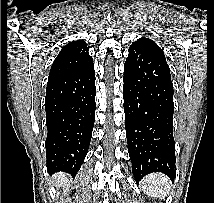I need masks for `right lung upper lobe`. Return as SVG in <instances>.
I'll return each mask as SVG.
<instances>
[{"instance_id":"1","label":"right lung upper lobe","mask_w":214,"mask_h":203,"mask_svg":"<svg viewBox=\"0 0 214 203\" xmlns=\"http://www.w3.org/2000/svg\"><path fill=\"white\" fill-rule=\"evenodd\" d=\"M88 50L83 40L66 44L52 64L48 83L72 75L91 64L93 59Z\"/></svg>"}]
</instances>
